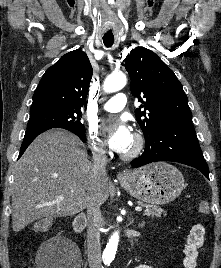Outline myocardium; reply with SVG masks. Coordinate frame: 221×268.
I'll use <instances>...</instances> for the list:
<instances>
[{
  "label": "myocardium",
  "mask_w": 221,
  "mask_h": 268,
  "mask_svg": "<svg viewBox=\"0 0 221 268\" xmlns=\"http://www.w3.org/2000/svg\"><path fill=\"white\" fill-rule=\"evenodd\" d=\"M133 137L135 140V146L132 151L128 153H123L121 155V158L124 160H132L134 158H137L144 150L145 147L144 136L141 133L136 132Z\"/></svg>",
  "instance_id": "myocardium-1"
}]
</instances>
